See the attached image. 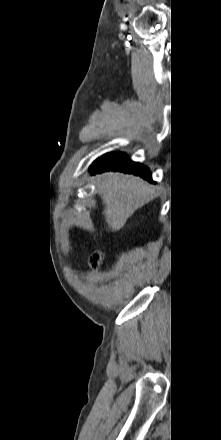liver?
Segmentation results:
<instances>
[{
	"label": "liver",
	"mask_w": 221,
	"mask_h": 440,
	"mask_svg": "<svg viewBox=\"0 0 221 440\" xmlns=\"http://www.w3.org/2000/svg\"><path fill=\"white\" fill-rule=\"evenodd\" d=\"M101 196L108 228L118 231L127 219L155 193L153 186L143 179L123 173H103L95 178Z\"/></svg>",
	"instance_id": "6515ba94"
}]
</instances>
